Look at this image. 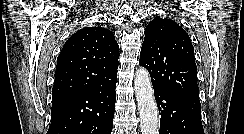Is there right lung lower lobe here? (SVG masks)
Listing matches in <instances>:
<instances>
[{"instance_id": "right-lung-lower-lobe-1", "label": "right lung lower lobe", "mask_w": 244, "mask_h": 134, "mask_svg": "<svg viewBox=\"0 0 244 134\" xmlns=\"http://www.w3.org/2000/svg\"><path fill=\"white\" fill-rule=\"evenodd\" d=\"M116 82L54 96L47 134H111Z\"/></svg>"}]
</instances>
